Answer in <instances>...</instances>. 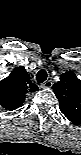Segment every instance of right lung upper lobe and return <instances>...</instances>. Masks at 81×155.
I'll return each instance as SVG.
<instances>
[{
	"instance_id": "cb5924a9",
	"label": "right lung upper lobe",
	"mask_w": 81,
	"mask_h": 155,
	"mask_svg": "<svg viewBox=\"0 0 81 155\" xmlns=\"http://www.w3.org/2000/svg\"><path fill=\"white\" fill-rule=\"evenodd\" d=\"M38 91L23 66L16 67L8 77L0 81V105L7 110L19 108L29 92Z\"/></svg>"
}]
</instances>
